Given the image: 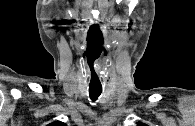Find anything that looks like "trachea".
<instances>
[{
  "label": "trachea",
  "mask_w": 195,
  "mask_h": 126,
  "mask_svg": "<svg viewBox=\"0 0 195 126\" xmlns=\"http://www.w3.org/2000/svg\"><path fill=\"white\" fill-rule=\"evenodd\" d=\"M101 93L102 88L89 86V96L92 101H96Z\"/></svg>",
  "instance_id": "trachea-1"
}]
</instances>
